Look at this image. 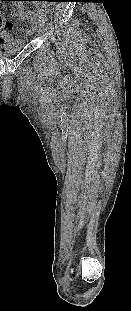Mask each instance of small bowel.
Instances as JSON below:
<instances>
[{"instance_id": "1", "label": "small bowel", "mask_w": 131, "mask_h": 311, "mask_svg": "<svg viewBox=\"0 0 131 311\" xmlns=\"http://www.w3.org/2000/svg\"><path fill=\"white\" fill-rule=\"evenodd\" d=\"M9 25L8 24H1L0 25V41H9L12 38V34L9 31Z\"/></svg>"}]
</instances>
